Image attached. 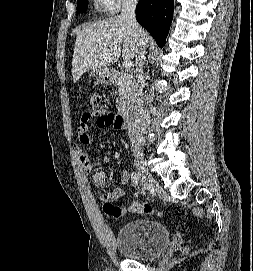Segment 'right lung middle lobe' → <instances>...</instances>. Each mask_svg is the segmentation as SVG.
<instances>
[{
  "label": "right lung middle lobe",
  "mask_w": 253,
  "mask_h": 271,
  "mask_svg": "<svg viewBox=\"0 0 253 271\" xmlns=\"http://www.w3.org/2000/svg\"><path fill=\"white\" fill-rule=\"evenodd\" d=\"M87 5V0H77V12L85 11Z\"/></svg>",
  "instance_id": "obj_1"
}]
</instances>
